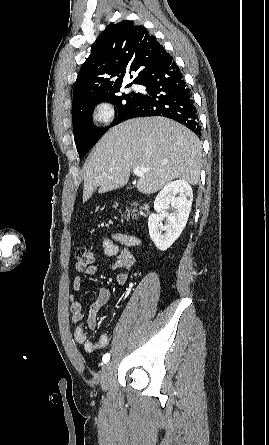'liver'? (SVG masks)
Returning <instances> with one entry per match:
<instances>
[{"instance_id": "liver-1", "label": "liver", "mask_w": 269, "mask_h": 445, "mask_svg": "<svg viewBox=\"0 0 269 445\" xmlns=\"http://www.w3.org/2000/svg\"><path fill=\"white\" fill-rule=\"evenodd\" d=\"M201 151L196 135L168 118L127 120L104 134L86 161L83 202L97 187L99 193L123 187L137 167L150 169L137 182L143 194H153L176 178L197 185Z\"/></svg>"}]
</instances>
